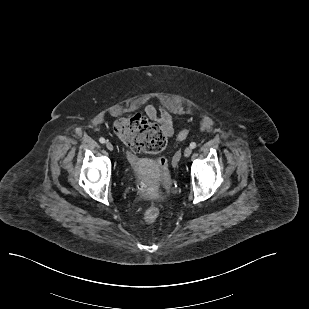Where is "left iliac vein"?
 Returning <instances> with one entry per match:
<instances>
[{"label": "left iliac vein", "mask_w": 309, "mask_h": 309, "mask_svg": "<svg viewBox=\"0 0 309 309\" xmlns=\"http://www.w3.org/2000/svg\"><path fill=\"white\" fill-rule=\"evenodd\" d=\"M192 153V148L191 147H187L185 150H184V156L185 157H189Z\"/></svg>", "instance_id": "4c4485c4"}]
</instances>
